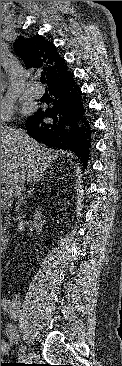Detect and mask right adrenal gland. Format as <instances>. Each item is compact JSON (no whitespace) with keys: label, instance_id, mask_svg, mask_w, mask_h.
Returning a JSON list of instances; mask_svg holds the SVG:
<instances>
[{"label":"right adrenal gland","instance_id":"obj_1","mask_svg":"<svg viewBox=\"0 0 122 366\" xmlns=\"http://www.w3.org/2000/svg\"><path fill=\"white\" fill-rule=\"evenodd\" d=\"M40 181H44V175L35 179L33 184H32V187L30 188V190L28 191V195H27V198L31 197L33 195V191H34V186L40 182Z\"/></svg>","mask_w":122,"mask_h":366}]
</instances>
